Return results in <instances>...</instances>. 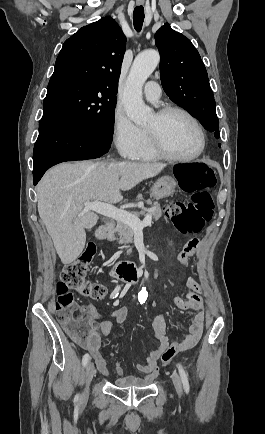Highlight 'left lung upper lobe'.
Listing matches in <instances>:
<instances>
[{
  "mask_svg": "<svg viewBox=\"0 0 265 434\" xmlns=\"http://www.w3.org/2000/svg\"><path fill=\"white\" fill-rule=\"evenodd\" d=\"M155 43L160 52V78L166 94L219 138L213 92L196 48L169 24L157 31Z\"/></svg>",
  "mask_w": 265,
  "mask_h": 434,
  "instance_id": "obj_1",
  "label": "left lung upper lobe"
}]
</instances>
